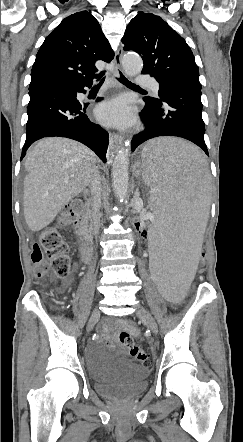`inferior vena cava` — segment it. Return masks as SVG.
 Wrapping results in <instances>:
<instances>
[{"instance_id":"602c4592","label":"inferior vena cava","mask_w":243,"mask_h":442,"mask_svg":"<svg viewBox=\"0 0 243 442\" xmlns=\"http://www.w3.org/2000/svg\"><path fill=\"white\" fill-rule=\"evenodd\" d=\"M90 187L92 193L91 228L96 236L100 229L99 208L101 206V177L97 167L93 172Z\"/></svg>"}]
</instances>
